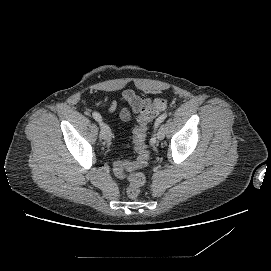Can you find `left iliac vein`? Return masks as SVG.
I'll return each instance as SVG.
<instances>
[{
	"label": "left iliac vein",
	"instance_id": "left-iliac-vein-1",
	"mask_svg": "<svg viewBox=\"0 0 271 271\" xmlns=\"http://www.w3.org/2000/svg\"><path fill=\"white\" fill-rule=\"evenodd\" d=\"M165 137V128L164 126H160L159 130H158V133H157V138L158 140H163Z\"/></svg>",
	"mask_w": 271,
	"mask_h": 271
}]
</instances>
